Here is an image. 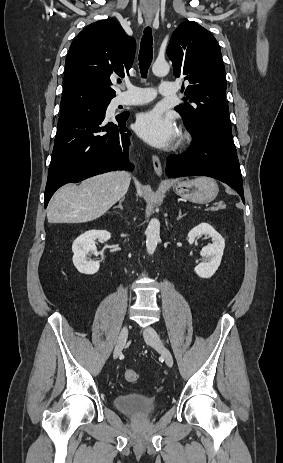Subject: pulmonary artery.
<instances>
[{"mask_svg": "<svg viewBox=\"0 0 283 463\" xmlns=\"http://www.w3.org/2000/svg\"><path fill=\"white\" fill-rule=\"evenodd\" d=\"M127 92L120 93L115 98V105H138L153 100L158 94L162 96H174L177 92V86L170 81H162L158 89L141 88L133 84H125Z\"/></svg>", "mask_w": 283, "mask_h": 463, "instance_id": "1", "label": "pulmonary artery"}]
</instances>
